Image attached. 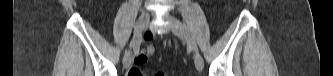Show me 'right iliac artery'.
Listing matches in <instances>:
<instances>
[{
	"label": "right iliac artery",
	"instance_id": "82829eb1",
	"mask_svg": "<svg viewBox=\"0 0 333 76\" xmlns=\"http://www.w3.org/2000/svg\"><path fill=\"white\" fill-rule=\"evenodd\" d=\"M141 36V35H140ZM140 36H138L137 38H134L132 40V42L130 43V47L132 46H138L139 42H140Z\"/></svg>",
	"mask_w": 333,
	"mask_h": 76
}]
</instances>
